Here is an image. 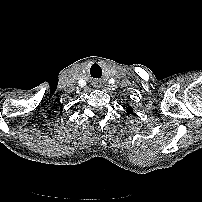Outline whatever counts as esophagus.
<instances>
[{"label": "esophagus", "mask_w": 202, "mask_h": 202, "mask_svg": "<svg viewBox=\"0 0 202 202\" xmlns=\"http://www.w3.org/2000/svg\"><path fill=\"white\" fill-rule=\"evenodd\" d=\"M94 86H95L96 88H99V87L101 86V82L96 81V82L94 83Z\"/></svg>", "instance_id": "obj_1"}]
</instances>
